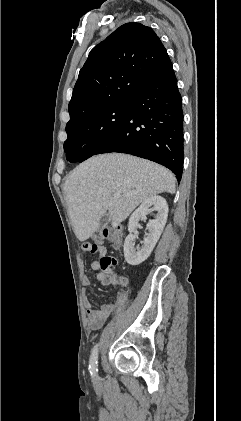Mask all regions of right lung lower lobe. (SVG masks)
I'll return each mask as SVG.
<instances>
[{
	"mask_svg": "<svg viewBox=\"0 0 241 421\" xmlns=\"http://www.w3.org/2000/svg\"><path fill=\"white\" fill-rule=\"evenodd\" d=\"M109 152L127 153L157 162L181 180L184 157L182 97L169 58L128 99L122 127L96 154Z\"/></svg>",
	"mask_w": 241,
	"mask_h": 421,
	"instance_id": "obj_1",
	"label": "right lung lower lobe"
}]
</instances>
